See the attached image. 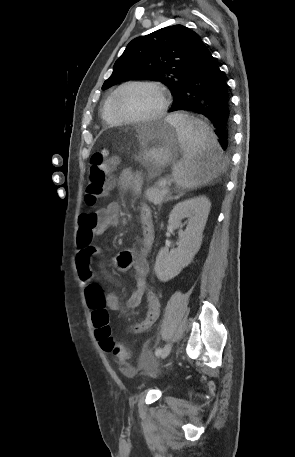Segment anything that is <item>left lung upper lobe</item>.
<instances>
[{
	"label": "left lung upper lobe",
	"mask_w": 295,
	"mask_h": 457,
	"mask_svg": "<svg viewBox=\"0 0 295 457\" xmlns=\"http://www.w3.org/2000/svg\"><path fill=\"white\" fill-rule=\"evenodd\" d=\"M202 44L201 37L183 25L168 26L135 38L115 62L113 73L102 89L125 80L158 81L169 88L174 99L183 86L186 69Z\"/></svg>",
	"instance_id": "1"
}]
</instances>
